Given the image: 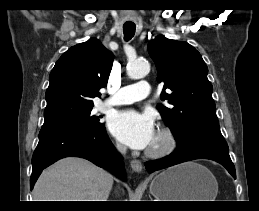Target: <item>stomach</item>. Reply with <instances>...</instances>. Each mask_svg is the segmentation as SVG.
Here are the masks:
<instances>
[{"instance_id": "0dacf381", "label": "stomach", "mask_w": 259, "mask_h": 211, "mask_svg": "<svg viewBox=\"0 0 259 211\" xmlns=\"http://www.w3.org/2000/svg\"><path fill=\"white\" fill-rule=\"evenodd\" d=\"M150 193L158 201H215L218 183L206 167L187 162L156 175Z\"/></svg>"}]
</instances>
